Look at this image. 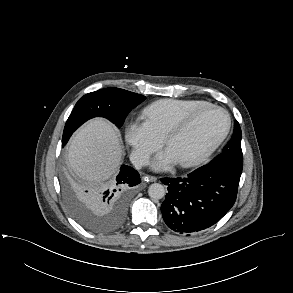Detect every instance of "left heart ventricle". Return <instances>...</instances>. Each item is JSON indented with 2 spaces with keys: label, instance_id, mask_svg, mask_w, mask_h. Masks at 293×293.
Listing matches in <instances>:
<instances>
[{
  "label": "left heart ventricle",
  "instance_id": "b2bd125f",
  "mask_svg": "<svg viewBox=\"0 0 293 293\" xmlns=\"http://www.w3.org/2000/svg\"><path fill=\"white\" fill-rule=\"evenodd\" d=\"M225 126L224 113L206 110L184 133L170 142L168 149L177 162L189 160L206 149L224 131Z\"/></svg>",
  "mask_w": 293,
  "mask_h": 293
}]
</instances>
